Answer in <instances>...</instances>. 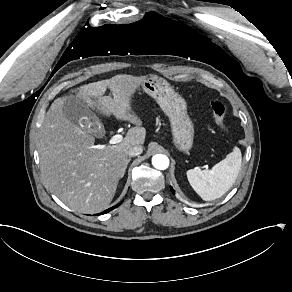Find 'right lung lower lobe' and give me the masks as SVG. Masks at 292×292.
<instances>
[{"label": "right lung lower lobe", "instance_id": "1", "mask_svg": "<svg viewBox=\"0 0 292 292\" xmlns=\"http://www.w3.org/2000/svg\"><path fill=\"white\" fill-rule=\"evenodd\" d=\"M118 206H119V204L114 206V207H111V208L107 209L104 213H107V212L111 211L112 209H114L115 207H118Z\"/></svg>", "mask_w": 292, "mask_h": 292}]
</instances>
